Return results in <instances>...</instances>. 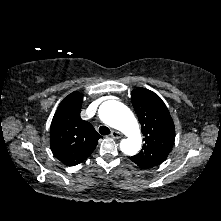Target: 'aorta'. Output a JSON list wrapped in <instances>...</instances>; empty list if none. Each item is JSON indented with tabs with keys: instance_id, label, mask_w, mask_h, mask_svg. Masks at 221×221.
<instances>
[{
	"instance_id": "obj_1",
	"label": "aorta",
	"mask_w": 221,
	"mask_h": 221,
	"mask_svg": "<svg viewBox=\"0 0 221 221\" xmlns=\"http://www.w3.org/2000/svg\"><path fill=\"white\" fill-rule=\"evenodd\" d=\"M99 116L104 123L127 136L120 142V149L124 154L132 156L139 152L142 144L141 132L130 109L118 101L109 100L101 105Z\"/></svg>"
}]
</instances>
